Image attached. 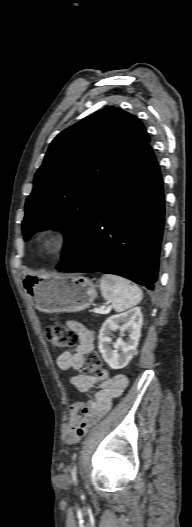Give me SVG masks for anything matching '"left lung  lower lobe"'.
<instances>
[{"label": "left lung lower lobe", "instance_id": "1", "mask_svg": "<svg viewBox=\"0 0 192 527\" xmlns=\"http://www.w3.org/2000/svg\"><path fill=\"white\" fill-rule=\"evenodd\" d=\"M164 214L162 177L148 144L110 186L56 269L115 274L153 290Z\"/></svg>", "mask_w": 192, "mask_h": 527}]
</instances>
